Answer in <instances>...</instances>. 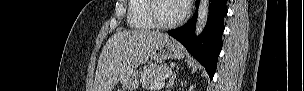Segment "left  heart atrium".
<instances>
[{"label":"left heart atrium","mask_w":304,"mask_h":91,"mask_svg":"<svg viewBox=\"0 0 304 91\" xmlns=\"http://www.w3.org/2000/svg\"><path fill=\"white\" fill-rule=\"evenodd\" d=\"M181 2H182V4H183V8H187V3H188V1L183 0V1H181Z\"/></svg>","instance_id":"left-heart-atrium-1"}]
</instances>
